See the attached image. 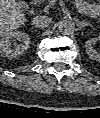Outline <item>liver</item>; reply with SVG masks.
<instances>
[{"label": "liver", "instance_id": "obj_1", "mask_svg": "<svg viewBox=\"0 0 100 118\" xmlns=\"http://www.w3.org/2000/svg\"><path fill=\"white\" fill-rule=\"evenodd\" d=\"M26 21L21 12V5L16 0H1L0 3V33L7 34L20 28Z\"/></svg>", "mask_w": 100, "mask_h": 118}]
</instances>
